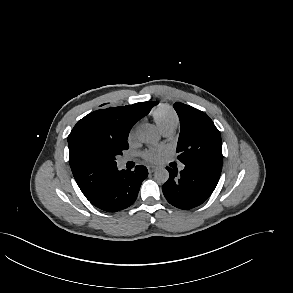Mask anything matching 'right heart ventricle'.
Returning <instances> with one entry per match:
<instances>
[{"instance_id": "right-heart-ventricle-1", "label": "right heart ventricle", "mask_w": 293, "mask_h": 293, "mask_svg": "<svg viewBox=\"0 0 293 293\" xmlns=\"http://www.w3.org/2000/svg\"><path fill=\"white\" fill-rule=\"evenodd\" d=\"M152 118L157 127L163 132L167 130H175L179 124L177 113L166 104L156 107L151 112Z\"/></svg>"}]
</instances>
